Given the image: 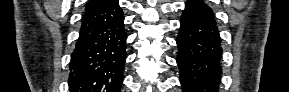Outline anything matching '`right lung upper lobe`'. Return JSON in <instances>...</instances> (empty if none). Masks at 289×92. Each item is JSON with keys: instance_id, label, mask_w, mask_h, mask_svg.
I'll return each mask as SVG.
<instances>
[{"instance_id": "cb5924a9", "label": "right lung upper lobe", "mask_w": 289, "mask_h": 92, "mask_svg": "<svg viewBox=\"0 0 289 92\" xmlns=\"http://www.w3.org/2000/svg\"><path fill=\"white\" fill-rule=\"evenodd\" d=\"M107 1H109V0H91L86 5V9L96 8V7L100 6V5L105 4Z\"/></svg>"}]
</instances>
